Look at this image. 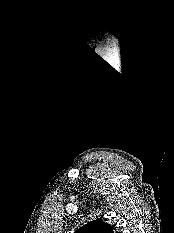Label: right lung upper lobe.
Returning <instances> with one entry per match:
<instances>
[{
	"label": "right lung upper lobe",
	"mask_w": 174,
	"mask_h": 233,
	"mask_svg": "<svg viewBox=\"0 0 174 233\" xmlns=\"http://www.w3.org/2000/svg\"><path fill=\"white\" fill-rule=\"evenodd\" d=\"M75 233H114L113 226L105 223L102 218L88 222L79 228Z\"/></svg>",
	"instance_id": "obj_1"
}]
</instances>
